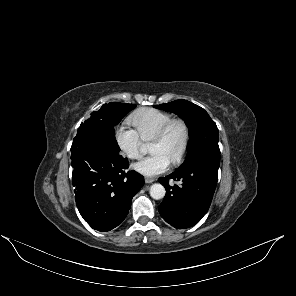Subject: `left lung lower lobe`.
Returning a JSON list of instances; mask_svg holds the SVG:
<instances>
[{
	"mask_svg": "<svg viewBox=\"0 0 296 296\" xmlns=\"http://www.w3.org/2000/svg\"><path fill=\"white\" fill-rule=\"evenodd\" d=\"M219 165L220 155L206 156L159 178L158 181L166 188V196L159 206L162 218L179 229L198 223L210 207ZM170 179L182 184L172 187Z\"/></svg>",
	"mask_w": 296,
	"mask_h": 296,
	"instance_id": "0a47b994",
	"label": "left lung lower lobe"
}]
</instances>
